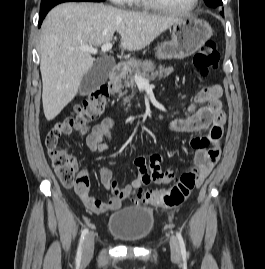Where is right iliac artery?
<instances>
[{"label": "right iliac artery", "mask_w": 265, "mask_h": 269, "mask_svg": "<svg viewBox=\"0 0 265 269\" xmlns=\"http://www.w3.org/2000/svg\"><path fill=\"white\" fill-rule=\"evenodd\" d=\"M87 234H88V229L85 228L81 233V237H80V241H79V246H78L77 255H76V262L77 263H79L81 261L82 247H83V243H84V240H85Z\"/></svg>", "instance_id": "right-iliac-artery-1"}]
</instances>
